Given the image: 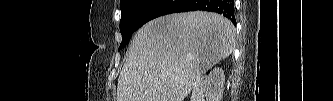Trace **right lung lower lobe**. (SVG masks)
<instances>
[{
    "label": "right lung lower lobe",
    "instance_id": "1",
    "mask_svg": "<svg viewBox=\"0 0 333 101\" xmlns=\"http://www.w3.org/2000/svg\"><path fill=\"white\" fill-rule=\"evenodd\" d=\"M234 0H152L137 22L138 29L148 21L166 14L187 11H211L223 14L236 25Z\"/></svg>",
    "mask_w": 333,
    "mask_h": 101
}]
</instances>
